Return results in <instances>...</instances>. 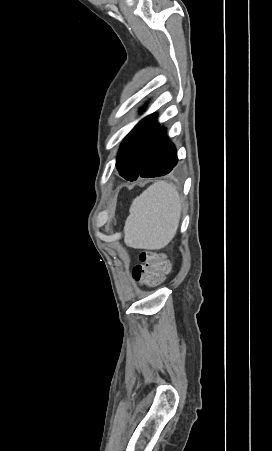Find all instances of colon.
Masks as SVG:
<instances>
[{
    "label": "colon",
    "mask_w": 272,
    "mask_h": 451,
    "mask_svg": "<svg viewBox=\"0 0 272 451\" xmlns=\"http://www.w3.org/2000/svg\"><path fill=\"white\" fill-rule=\"evenodd\" d=\"M140 264L132 269L133 279L139 285L160 284L171 271V265L164 255L146 251L139 254Z\"/></svg>",
    "instance_id": "5ec220e1"
}]
</instances>
